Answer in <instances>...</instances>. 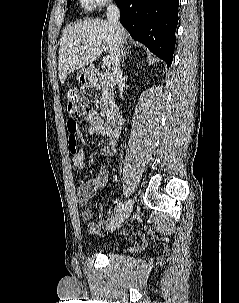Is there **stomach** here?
Instances as JSON below:
<instances>
[{"label":"stomach","instance_id":"1","mask_svg":"<svg viewBox=\"0 0 239 303\" xmlns=\"http://www.w3.org/2000/svg\"><path fill=\"white\" fill-rule=\"evenodd\" d=\"M78 82L85 87H89L93 85V77L88 69H80L77 73Z\"/></svg>","mask_w":239,"mask_h":303}]
</instances>
